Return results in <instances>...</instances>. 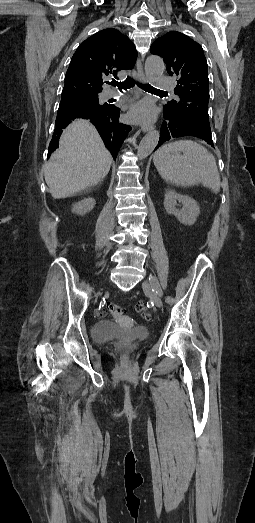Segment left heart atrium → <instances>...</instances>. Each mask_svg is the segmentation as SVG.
<instances>
[{"label": "left heart atrium", "mask_w": 255, "mask_h": 523, "mask_svg": "<svg viewBox=\"0 0 255 523\" xmlns=\"http://www.w3.org/2000/svg\"><path fill=\"white\" fill-rule=\"evenodd\" d=\"M131 116L138 120H152L156 115L154 105L150 101H141L131 108Z\"/></svg>", "instance_id": "left-heart-atrium-1"}]
</instances>
